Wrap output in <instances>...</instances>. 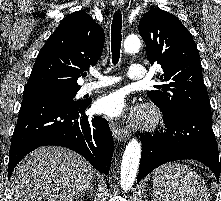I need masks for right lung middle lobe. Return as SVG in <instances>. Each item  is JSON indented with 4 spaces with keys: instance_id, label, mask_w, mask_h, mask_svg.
I'll list each match as a JSON object with an SVG mask.
<instances>
[{
    "instance_id": "right-lung-middle-lobe-1",
    "label": "right lung middle lobe",
    "mask_w": 221,
    "mask_h": 201,
    "mask_svg": "<svg viewBox=\"0 0 221 201\" xmlns=\"http://www.w3.org/2000/svg\"><path fill=\"white\" fill-rule=\"evenodd\" d=\"M78 90L79 89L27 88L24 89L23 98L44 97L79 104L83 101H73Z\"/></svg>"
}]
</instances>
